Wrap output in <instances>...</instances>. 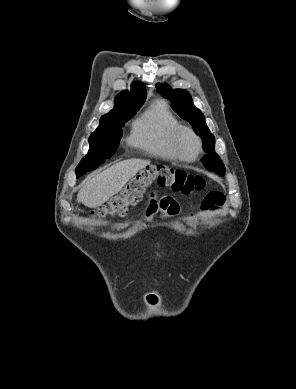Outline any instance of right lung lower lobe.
Masks as SVG:
<instances>
[{"label":"right lung lower lobe","mask_w":296,"mask_h":389,"mask_svg":"<svg viewBox=\"0 0 296 389\" xmlns=\"http://www.w3.org/2000/svg\"><path fill=\"white\" fill-rule=\"evenodd\" d=\"M98 165H86L84 167H78L76 168V176L77 178L80 177L81 175H83L84 173L88 172V171H91V170H94L95 168H97Z\"/></svg>","instance_id":"right-lung-lower-lobe-1"}]
</instances>
